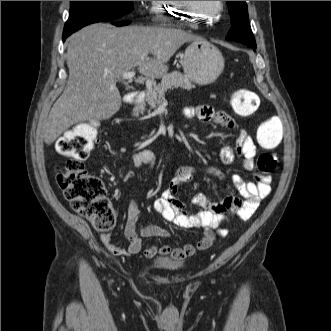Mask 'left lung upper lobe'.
<instances>
[{"label": "left lung upper lobe", "mask_w": 331, "mask_h": 331, "mask_svg": "<svg viewBox=\"0 0 331 331\" xmlns=\"http://www.w3.org/2000/svg\"><path fill=\"white\" fill-rule=\"evenodd\" d=\"M231 15L232 27L226 36L227 40L255 46V39L248 21V10L245 1H227Z\"/></svg>", "instance_id": "obj_1"}]
</instances>
